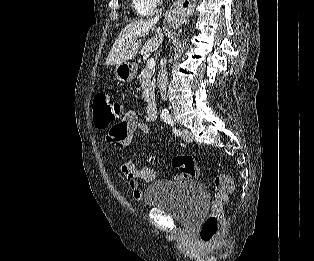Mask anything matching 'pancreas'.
I'll use <instances>...</instances> for the list:
<instances>
[{
    "label": "pancreas",
    "instance_id": "cf45deb5",
    "mask_svg": "<svg viewBox=\"0 0 314 261\" xmlns=\"http://www.w3.org/2000/svg\"><path fill=\"white\" fill-rule=\"evenodd\" d=\"M155 76L154 71L145 67L139 76V82L142 85V96L148 103L155 101Z\"/></svg>",
    "mask_w": 314,
    "mask_h": 261
}]
</instances>
